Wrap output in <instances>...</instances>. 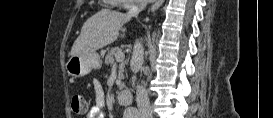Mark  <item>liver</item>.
<instances>
[{"label": "liver", "mask_w": 273, "mask_h": 118, "mask_svg": "<svg viewBox=\"0 0 273 118\" xmlns=\"http://www.w3.org/2000/svg\"><path fill=\"white\" fill-rule=\"evenodd\" d=\"M130 18L108 9L100 10L83 24L81 33L71 48V56L92 53L113 43L119 36L120 28Z\"/></svg>", "instance_id": "obj_1"}]
</instances>
